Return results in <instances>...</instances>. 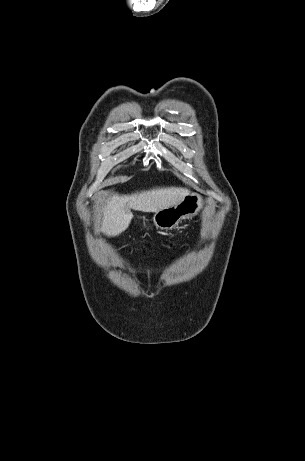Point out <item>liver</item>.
I'll return each instance as SVG.
<instances>
[{"label": "liver", "instance_id": "1", "mask_svg": "<svg viewBox=\"0 0 305 461\" xmlns=\"http://www.w3.org/2000/svg\"><path fill=\"white\" fill-rule=\"evenodd\" d=\"M189 191L178 187H159L131 195H113L104 208L100 231L117 236L125 231L133 218L131 209L158 212L177 205Z\"/></svg>", "mask_w": 305, "mask_h": 461}]
</instances>
